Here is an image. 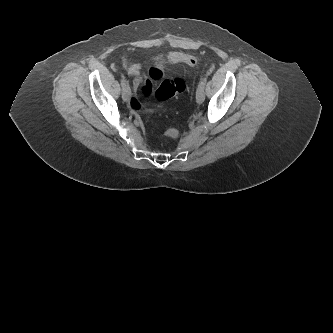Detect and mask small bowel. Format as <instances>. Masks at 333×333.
I'll return each mask as SVG.
<instances>
[{
    "label": "small bowel",
    "mask_w": 333,
    "mask_h": 333,
    "mask_svg": "<svg viewBox=\"0 0 333 333\" xmlns=\"http://www.w3.org/2000/svg\"><path fill=\"white\" fill-rule=\"evenodd\" d=\"M150 60L155 64L149 67L146 71V76L151 81L161 82L166 77V72L163 67L169 63H185L189 65H194L196 60L193 56L183 53V52H169L160 53L152 56ZM140 65L131 64L126 66V70L130 76L133 78L134 87H138L143 82V77L140 75ZM142 95L148 96L146 91H142ZM137 104L140 102L137 97L134 98Z\"/></svg>",
    "instance_id": "obj_1"
}]
</instances>
